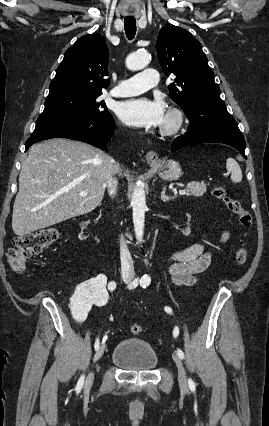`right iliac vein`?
<instances>
[{
    "label": "right iliac vein",
    "instance_id": "right-iliac-vein-1",
    "mask_svg": "<svg viewBox=\"0 0 269 426\" xmlns=\"http://www.w3.org/2000/svg\"><path fill=\"white\" fill-rule=\"evenodd\" d=\"M129 280L130 279L128 277L124 278V282L125 283H128ZM104 350H105V344L102 343L101 346L99 347V349L95 353L94 362H97L102 357V355L104 353ZM93 382H94V374H93V372H90L88 374V376L86 377L85 384H84V389L85 390H89L92 387Z\"/></svg>",
    "mask_w": 269,
    "mask_h": 426
}]
</instances>
